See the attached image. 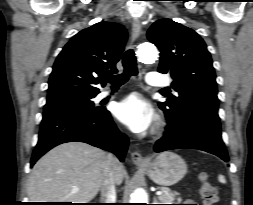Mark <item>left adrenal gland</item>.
I'll return each mask as SVG.
<instances>
[{"label": "left adrenal gland", "mask_w": 253, "mask_h": 205, "mask_svg": "<svg viewBox=\"0 0 253 205\" xmlns=\"http://www.w3.org/2000/svg\"><path fill=\"white\" fill-rule=\"evenodd\" d=\"M153 201H154L153 204H158V202H157L158 200L156 197L153 198Z\"/></svg>", "instance_id": "a2214340"}]
</instances>
